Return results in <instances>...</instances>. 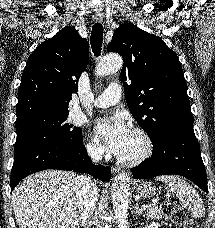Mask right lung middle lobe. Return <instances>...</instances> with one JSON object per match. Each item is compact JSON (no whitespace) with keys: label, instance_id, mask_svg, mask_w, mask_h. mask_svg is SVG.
<instances>
[{"label":"right lung middle lobe","instance_id":"dd1d6c3e","mask_svg":"<svg viewBox=\"0 0 215 228\" xmlns=\"http://www.w3.org/2000/svg\"><path fill=\"white\" fill-rule=\"evenodd\" d=\"M68 113L33 117L16 122L17 139L14 152L46 141L82 144L81 128L67 123Z\"/></svg>","mask_w":215,"mask_h":228}]
</instances>
